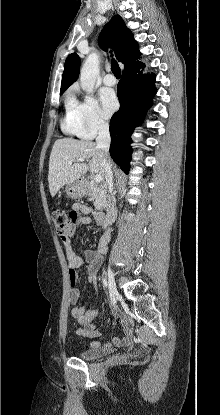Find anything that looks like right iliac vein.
Here are the masks:
<instances>
[{"mask_svg":"<svg viewBox=\"0 0 220 415\" xmlns=\"http://www.w3.org/2000/svg\"><path fill=\"white\" fill-rule=\"evenodd\" d=\"M106 273H107V277H108V285H109V291H110L112 303L115 304L117 302V300L119 299L120 294L117 290L116 283H115V278H114V274H113L112 270L110 268H107Z\"/></svg>","mask_w":220,"mask_h":415,"instance_id":"right-iliac-vein-1","label":"right iliac vein"}]
</instances>
